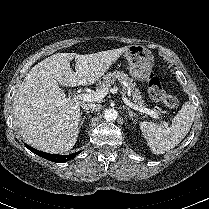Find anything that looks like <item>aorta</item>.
<instances>
[{"label":"aorta","mask_w":209,"mask_h":209,"mask_svg":"<svg viewBox=\"0 0 209 209\" xmlns=\"http://www.w3.org/2000/svg\"><path fill=\"white\" fill-rule=\"evenodd\" d=\"M118 117V112L115 109H107L104 113V119L106 121H115Z\"/></svg>","instance_id":"aorta-1"}]
</instances>
